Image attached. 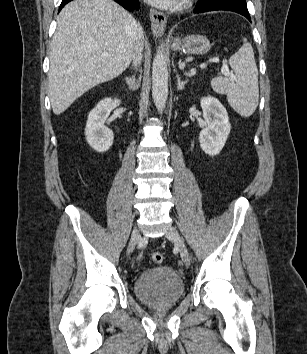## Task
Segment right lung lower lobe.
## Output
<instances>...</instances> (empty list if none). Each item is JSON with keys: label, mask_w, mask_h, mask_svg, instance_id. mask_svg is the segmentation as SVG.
Here are the masks:
<instances>
[{"label": "right lung lower lobe", "mask_w": 307, "mask_h": 354, "mask_svg": "<svg viewBox=\"0 0 307 354\" xmlns=\"http://www.w3.org/2000/svg\"><path fill=\"white\" fill-rule=\"evenodd\" d=\"M70 1H72V0H62V3L60 5V9H62V7H64V5H66ZM114 1H116L121 6H123L125 9L130 10V11L139 8L138 0H114Z\"/></svg>", "instance_id": "1"}]
</instances>
